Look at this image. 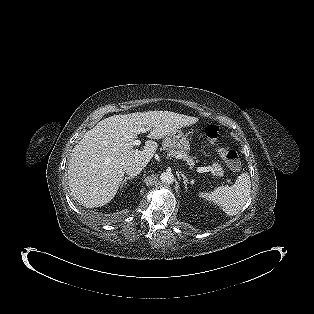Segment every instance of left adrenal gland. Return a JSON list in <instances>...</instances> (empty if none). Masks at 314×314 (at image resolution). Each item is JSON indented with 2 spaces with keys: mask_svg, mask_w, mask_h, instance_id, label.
I'll use <instances>...</instances> for the list:
<instances>
[{
  "mask_svg": "<svg viewBox=\"0 0 314 314\" xmlns=\"http://www.w3.org/2000/svg\"><path fill=\"white\" fill-rule=\"evenodd\" d=\"M181 176L183 177L184 187H185V190H186V192H187V190H188L187 184L189 183V182H188V179H187V177H186L184 174H181ZM191 183H193V182H191Z\"/></svg>",
  "mask_w": 314,
  "mask_h": 314,
  "instance_id": "1",
  "label": "left adrenal gland"
}]
</instances>
